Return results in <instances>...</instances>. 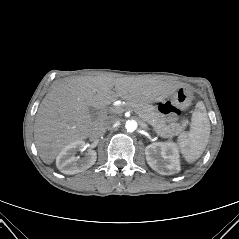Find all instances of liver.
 Segmentation results:
<instances>
[{"mask_svg":"<svg viewBox=\"0 0 239 239\" xmlns=\"http://www.w3.org/2000/svg\"><path fill=\"white\" fill-rule=\"evenodd\" d=\"M167 84L145 77L75 76L56 81L41 102L34 139L42 161L51 164L67 145L88 138L98 126L90 114L118 98L149 103L164 95Z\"/></svg>","mask_w":239,"mask_h":239,"instance_id":"obj_1","label":"liver"}]
</instances>
